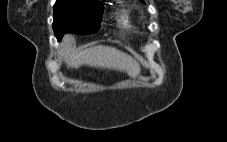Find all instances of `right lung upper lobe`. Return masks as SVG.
<instances>
[{
  "mask_svg": "<svg viewBox=\"0 0 227 142\" xmlns=\"http://www.w3.org/2000/svg\"><path fill=\"white\" fill-rule=\"evenodd\" d=\"M84 1L94 2V3H101V2L94 1V0H84Z\"/></svg>",
  "mask_w": 227,
  "mask_h": 142,
  "instance_id": "right-lung-upper-lobe-1",
  "label": "right lung upper lobe"
}]
</instances>
